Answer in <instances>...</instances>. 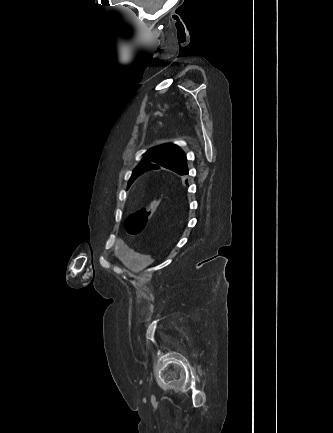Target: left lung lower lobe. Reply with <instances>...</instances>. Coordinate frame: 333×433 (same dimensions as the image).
Returning a JSON list of instances; mask_svg holds the SVG:
<instances>
[{
	"instance_id": "left-lung-lower-lobe-1",
	"label": "left lung lower lobe",
	"mask_w": 333,
	"mask_h": 433,
	"mask_svg": "<svg viewBox=\"0 0 333 433\" xmlns=\"http://www.w3.org/2000/svg\"><path fill=\"white\" fill-rule=\"evenodd\" d=\"M147 169H146V171H149V170H153V169H156L154 166H152V165H149V166H147L146 167ZM145 171V172H146ZM144 173V172H143ZM188 174V173H187Z\"/></svg>"
}]
</instances>
